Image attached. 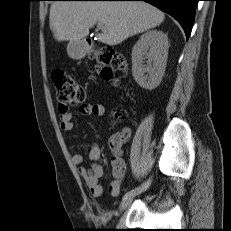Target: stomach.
<instances>
[{"label":"stomach","instance_id":"1","mask_svg":"<svg viewBox=\"0 0 231 231\" xmlns=\"http://www.w3.org/2000/svg\"><path fill=\"white\" fill-rule=\"evenodd\" d=\"M68 55L73 59H79L85 54V48L80 41H70L67 46Z\"/></svg>","mask_w":231,"mask_h":231}]
</instances>
